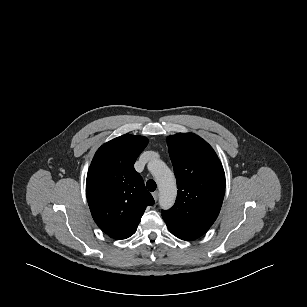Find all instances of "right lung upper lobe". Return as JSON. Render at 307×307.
<instances>
[{
    "label": "right lung upper lobe",
    "instance_id": "obj_1",
    "mask_svg": "<svg viewBox=\"0 0 307 307\" xmlns=\"http://www.w3.org/2000/svg\"><path fill=\"white\" fill-rule=\"evenodd\" d=\"M143 136L125 134L103 144L91 162L86 195L97 225L114 239L136 230L147 206L154 204L133 165L147 146Z\"/></svg>",
    "mask_w": 307,
    "mask_h": 307
}]
</instances>
